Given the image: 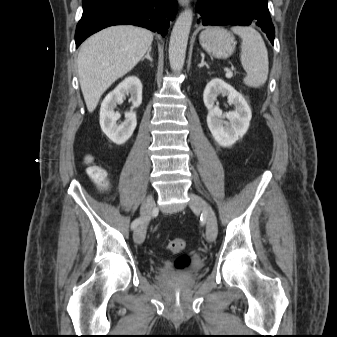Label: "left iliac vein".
I'll use <instances>...</instances> for the list:
<instances>
[{
    "label": "left iliac vein",
    "mask_w": 337,
    "mask_h": 337,
    "mask_svg": "<svg viewBox=\"0 0 337 337\" xmlns=\"http://www.w3.org/2000/svg\"><path fill=\"white\" fill-rule=\"evenodd\" d=\"M189 205L192 210L203 212L206 216V237L208 241H214L218 232V225L215 213L211 206L201 197L194 193H189Z\"/></svg>",
    "instance_id": "1"
}]
</instances>
